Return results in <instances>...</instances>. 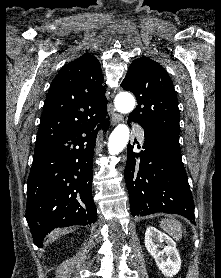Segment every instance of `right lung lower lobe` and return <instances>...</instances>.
<instances>
[{
	"label": "right lung lower lobe",
	"instance_id": "obj_1",
	"mask_svg": "<svg viewBox=\"0 0 221 278\" xmlns=\"http://www.w3.org/2000/svg\"><path fill=\"white\" fill-rule=\"evenodd\" d=\"M107 119L86 121L35 149L27 181L26 219L34 244L57 227L97 220L92 197V163L97 132Z\"/></svg>",
	"mask_w": 221,
	"mask_h": 278
}]
</instances>
